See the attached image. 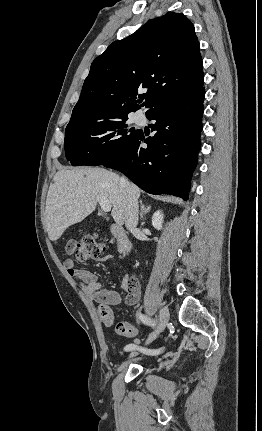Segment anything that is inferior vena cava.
I'll list each match as a JSON object with an SVG mask.
<instances>
[{"label":"inferior vena cava","mask_w":262,"mask_h":431,"mask_svg":"<svg viewBox=\"0 0 262 431\" xmlns=\"http://www.w3.org/2000/svg\"><path fill=\"white\" fill-rule=\"evenodd\" d=\"M121 183L125 186L127 196L124 204V221L128 230L134 231L138 224V199L129 190L127 180L121 178Z\"/></svg>","instance_id":"602c4592"}]
</instances>
